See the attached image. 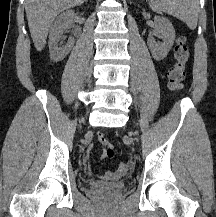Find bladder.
Segmentation results:
<instances>
[{
    "label": "bladder",
    "instance_id": "1",
    "mask_svg": "<svg viewBox=\"0 0 216 217\" xmlns=\"http://www.w3.org/2000/svg\"><path fill=\"white\" fill-rule=\"evenodd\" d=\"M125 183H116L112 185H105V186H96V188L105 190V191H113V192H119L122 191L125 188Z\"/></svg>",
    "mask_w": 216,
    "mask_h": 217
}]
</instances>
